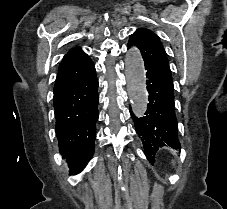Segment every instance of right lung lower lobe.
Returning a JSON list of instances; mask_svg holds the SVG:
<instances>
[{"label":"right lung lower lobe","mask_w":227,"mask_h":209,"mask_svg":"<svg viewBox=\"0 0 227 209\" xmlns=\"http://www.w3.org/2000/svg\"><path fill=\"white\" fill-rule=\"evenodd\" d=\"M75 80L54 94L56 135L59 150L70 174H78L94 154L98 120V80L93 62L85 66L59 67L55 84Z\"/></svg>","instance_id":"obj_1"}]
</instances>
